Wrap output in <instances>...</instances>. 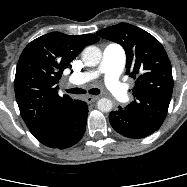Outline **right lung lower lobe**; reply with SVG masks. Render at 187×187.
<instances>
[{
	"instance_id": "obj_1",
	"label": "right lung lower lobe",
	"mask_w": 187,
	"mask_h": 187,
	"mask_svg": "<svg viewBox=\"0 0 187 187\" xmlns=\"http://www.w3.org/2000/svg\"><path fill=\"white\" fill-rule=\"evenodd\" d=\"M87 115V104L76 100L51 124L34 136L39 142L50 148L71 147L83 137Z\"/></svg>"
}]
</instances>
